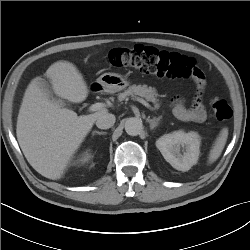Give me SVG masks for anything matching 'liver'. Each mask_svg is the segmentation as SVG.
I'll use <instances>...</instances> for the list:
<instances>
[{
	"instance_id": "6515ba94",
	"label": "liver",
	"mask_w": 250,
	"mask_h": 250,
	"mask_svg": "<svg viewBox=\"0 0 250 250\" xmlns=\"http://www.w3.org/2000/svg\"><path fill=\"white\" fill-rule=\"evenodd\" d=\"M45 76L59 98L81 103L88 96L86 82L71 62L53 63ZM40 79H34L25 91L17 119V140L25 158L38 173L58 180L97 118L108 111L101 109L78 116L51 100Z\"/></svg>"
}]
</instances>
